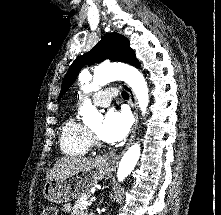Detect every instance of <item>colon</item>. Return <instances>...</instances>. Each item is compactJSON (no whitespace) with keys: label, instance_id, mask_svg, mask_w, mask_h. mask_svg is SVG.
Wrapping results in <instances>:
<instances>
[{"label":"colon","instance_id":"1","mask_svg":"<svg viewBox=\"0 0 221 215\" xmlns=\"http://www.w3.org/2000/svg\"><path fill=\"white\" fill-rule=\"evenodd\" d=\"M41 215H57V209L53 206H46L42 209Z\"/></svg>","mask_w":221,"mask_h":215}]
</instances>
